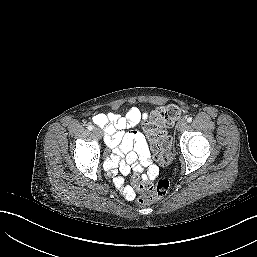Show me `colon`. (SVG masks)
I'll list each match as a JSON object with an SVG mask.
<instances>
[{
	"label": "colon",
	"mask_w": 257,
	"mask_h": 257,
	"mask_svg": "<svg viewBox=\"0 0 257 257\" xmlns=\"http://www.w3.org/2000/svg\"><path fill=\"white\" fill-rule=\"evenodd\" d=\"M181 108L170 104L157 108L145 123V130L149 135L152 150L156 159L162 165L171 162V138L165 131L166 127H172L181 117ZM135 187L142 195L138 198L140 204H149L166 195L170 188L167 179H159L155 184L141 181L138 176L134 178Z\"/></svg>",
	"instance_id": "1"
}]
</instances>
